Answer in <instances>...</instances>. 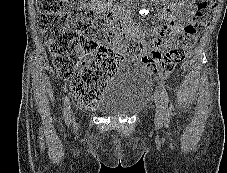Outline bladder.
<instances>
[{"label":"bladder","mask_w":227,"mask_h":173,"mask_svg":"<svg viewBox=\"0 0 227 173\" xmlns=\"http://www.w3.org/2000/svg\"><path fill=\"white\" fill-rule=\"evenodd\" d=\"M152 79L145 66L133 59L116 70L96 102L107 114H127L139 110L150 95Z\"/></svg>","instance_id":"1"}]
</instances>
